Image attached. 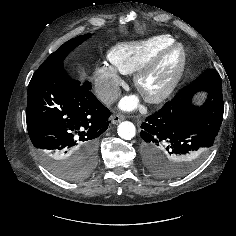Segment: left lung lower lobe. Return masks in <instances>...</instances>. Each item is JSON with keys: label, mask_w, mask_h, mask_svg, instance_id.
Returning <instances> with one entry per match:
<instances>
[{"label": "left lung lower lobe", "mask_w": 236, "mask_h": 236, "mask_svg": "<svg viewBox=\"0 0 236 236\" xmlns=\"http://www.w3.org/2000/svg\"><path fill=\"white\" fill-rule=\"evenodd\" d=\"M199 91H206L208 97L202 106H194L192 98ZM223 111L221 78L209 69L142 123L146 166L170 177L199 163L213 145Z\"/></svg>", "instance_id": "left-lung-lower-lobe-1"}]
</instances>
